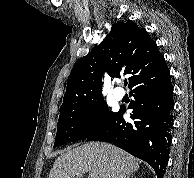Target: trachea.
Instances as JSON below:
<instances>
[{
  "mask_svg": "<svg viewBox=\"0 0 194 178\" xmlns=\"http://www.w3.org/2000/svg\"><path fill=\"white\" fill-rule=\"evenodd\" d=\"M124 85L127 86V82H124Z\"/></svg>",
  "mask_w": 194,
  "mask_h": 178,
  "instance_id": "trachea-1",
  "label": "trachea"
}]
</instances>
